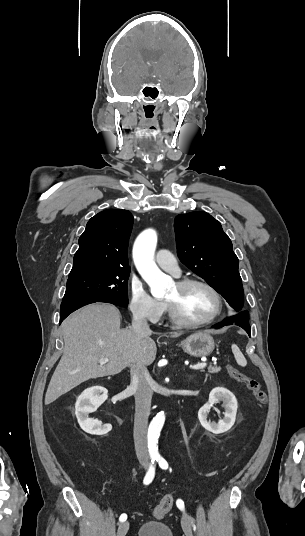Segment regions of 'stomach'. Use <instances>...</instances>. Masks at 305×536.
I'll use <instances>...</instances> for the list:
<instances>
[{
  "mask_svg": "<svg viewBox=\"0 0 305 536\" xmlns=\"http://www.w3.org/2000/svg\"><path fill=\"white\" fill-rule=\"evenodd\" d=\"M184 352L196 358L209 356L215 348L214 340L208 332H196L192 336H188L181 344Z\"/></svg>",
  "mask_w": 305,
  "mask_h": 536,
  "instance_id": "0dacf381",
  "label": "stomach"
}]
</instances>
